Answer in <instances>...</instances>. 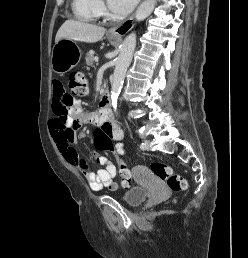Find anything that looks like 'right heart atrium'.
<instances>
[{
  "label": "right heart atrium",
  "mask_w": 248,
  "mask_h": 258,
  "mask_svg": "<svg viewBox=\"0 0 248 258\" xmlns=\"http://www.w3.org/2000/svg\"><path fill=\"white\" fill-rule=\"evenodd\" d=\"M98 9L100 13H103L105 11L104 5L100 0H98Z\"/></svg>",
  "instance_id": "right-heart-atrium-1"
}]
</instances>
